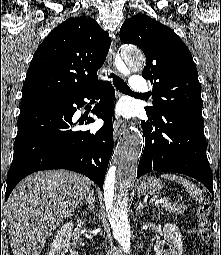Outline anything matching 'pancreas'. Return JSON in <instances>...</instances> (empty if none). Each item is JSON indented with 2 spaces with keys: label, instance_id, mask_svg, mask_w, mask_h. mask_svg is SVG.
<instances>
[{
  "label": "pancreas",
  "instance_id": "obj_1",
  "mask_svg": "<svg viewBox=\"0 0 221 255\" xmlns=\"http://www.w3.org/2000/svg\"><path fill=\"white\" fill-rule=\"evenodd\" d=\"M160 207L165 209L166 211L176 214H182L186 209L184 205H179L178 203H173L168 200H164V202L161 203Z\"/></svg>",
  "mask_w": 221,
  "mask_h": 255
}]
</instances>
